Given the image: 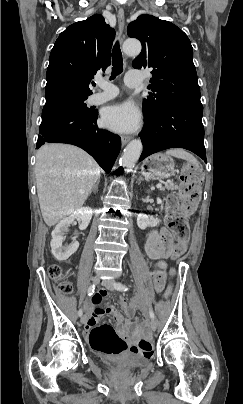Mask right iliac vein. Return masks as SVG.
<instances>
[{"label":"right iliac vein","instance_id":"1","mask_svg":"<svg viewBox=\"0 0 243 404\" xmlns=\"http://www.w3.org/2000/svg\"><path fill=\"white\" fill-rule=\"evenodd\" d=\"M92 281H93V284H98L99 281H100V277H99V276H95V277H93ZM86 319H87L86 315H83V316L81 317V320H80L81 323L84 324V323L86 322Z\"/></svg>","mask_w":243,"mask_h":404}]
</instances>
